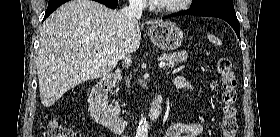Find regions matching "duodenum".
Listing matches in <instances>:
<instances>
[{
	"label": "duodenum",
	"mask_w": 280,
	"mask_h": 137,
	"mask_svg": "<svg viewBox=\"0 0 280 137\" xmlns=\"http://www.w3.org/2000/svg\"><path fill=\"white\" fill-rule=\"evenodd\" d=\"M114 84L115 78L113 76L101 78L89 97L88 106L89 111L95 121L104 125L106 128L121 134L125 133L130 128L132 123L115 116L104 106V101L107 97V94L109 90L113 88ZM162 112V99L160 96H155L147 114L148 122H157L162 115Z\"/></svg>",
	"instance_id": "1"
}]
</instances>
